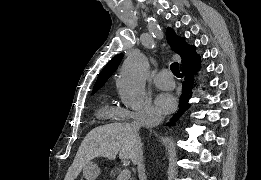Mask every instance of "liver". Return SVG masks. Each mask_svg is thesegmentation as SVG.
Returning <instances> with one entry per match:
<instances>
[{"label":"liver","mask_w":261,"mask_h":180,"mask_svg":"<svg viewBox=\"0 0 261 180\" xmlns=\"http://www.w3.org/2000/svg\"><path fill=\"white\" fill-rule=\"evenodd\" d=\"M142 144L135 124H106L85 136L75 160L69 168L68 180H75L86 164L94 158L133 160Z\"/></svg>","instance_id":"1"}]
</instances>
